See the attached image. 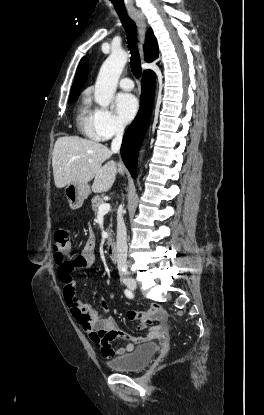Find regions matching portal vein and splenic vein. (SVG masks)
<instances>
[{
    "mask_svg": "<svg viewBox=\"0 0 264 415\" xmlns=\"http://www.w3.org/2000/svg\"><path fill=\"white\" fill-rule=\"evenodd\" d=\"M110 208L111 206L109 203L101 204L98 209V214H102V215L107 214L110 211Z\"/></svg>",
    "mask_w": 264,
    "mask_h": 415,
    "instance_id": "1",
    "label": "portal vein and splenic vein"
}]
</instances>
